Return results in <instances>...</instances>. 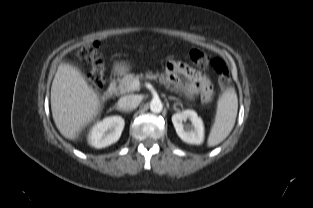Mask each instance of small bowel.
I'll return each instance as SVG.
<instances>
[{
    "mask_svg": "<svg viewBox=\"0 0 313 208\" xmlns=\"http://www.w3.org/2000/svg\"><path fill=\"white\" fill-rule=\"evenodd\" d=\"M166 71L171 82L176 87L182 88L188 95L200 94L205 101L211 98L213 87L205 74L178 61H169ZM180 75L186 78L185 83L180 80Z\"/></svg>",
    "mask_w": 313,
    "mask_h": 208,
    "instance_id": "1",
    "label": "small bowel"
}]
</instances>
